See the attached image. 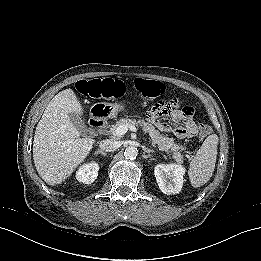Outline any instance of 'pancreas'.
<instances>
[{"instance_id":"pancreas-1","label":"pancreas","mask_w":261,"mask_h":261,"mask_svg":"<svg viewBox=\"0 0 261 261\" xmlns=\"http://www.w3.org/2000/svg\"><path fill=\"white\" fill-rule=\"evenodd\" d=\"M117 125H127L128 127L136 126L137 128H141L143 132L149 134L150 142L153 143L152 145L154 147H158L159 150L166 152L171 149L173 151L175 161L179 162L181 160L179 152H177V148L172 146V141L165 137L164 134H161L158 130H156L152 124L147 123L144 120H136L135 118L126 117L117 122Z\"/></svg>"}]
</instances>
